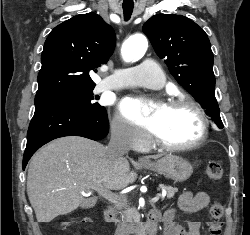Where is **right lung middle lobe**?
I'll use <instances>...</instances> for the list:
<instances>
[{
  "instance_id": "right-lung-middle-lobe-1",
  "label": "right lung middle lobe",
  "mask_w": 250,
  "mask_h": 235,
  "mask_svg": "<svg viewBox=\"0 0 250 235\" xmlns=\"http://www.w3.org/2000/svg\"><path fill=\"white\" fill-rule=\"evenodd\" d=\"M94 87L95 86H91L84 89L50 94L35 98V105L39 103L66 104L84 107L91 111L104 110L105 108L95 101L98 97L93 95Z\"/></svg>"
}]
</instances>
